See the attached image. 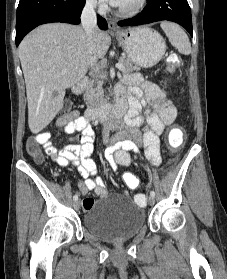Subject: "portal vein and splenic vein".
<instances>
[{
	"mask_svg": "<svg viewBox=\"0 0 227 279\" xmlns=\"http://www.w3.org/2000/svg\"><path fill=\"white\" fill-rule=\"evenodd\" d=\"M116 68L119 69L120 71H124V66L121 65L120 63L116 64ZM62 72L65 73L66 70H63Z\"/></svg>",
	"mask_w": 227,
	"mask_h": 279,
	"instance_id": "18ae733b",
	"label": "portal vein and splenic vein"
}]
</instances>
